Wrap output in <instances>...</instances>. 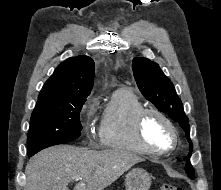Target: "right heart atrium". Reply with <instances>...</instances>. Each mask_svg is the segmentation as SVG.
Returning <instances> with one entry per match:
<instances>
[{"label":"right heart atrium","mask_w":221,"mask_h":190,"mask_svg":"<svg viewBox=\"0 0 221 190\" xmlns=\"http://www.w3.org/2000/svg\"><path fill=\"white\" fill-rule=\"evenodd\" d=\"M86 106H87V115L86 116H87V120H89L93 114L94 104H93V102L89 101V102H87Z\"/></svg>","instance_id":"d8ad5b80"}]
</instances>
